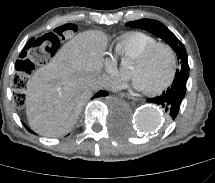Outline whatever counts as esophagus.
Instances as JSON below:
<instances>
[{"instance_id": "esophagus-1", "label": "esophagus", "mask_w": 215, "mask_h": 183, "mask_svg": "<svg viewBox=\"0 0 215 183\" xmlns=\"http://www.w3.org/2000/svg\"><path fill=\"white\" fill-rule=\"evenodd\" d=\"M120 97H125V98H132L131 94L127 93V92H121L119 93Z\"/></svg>"}]
</instances>
